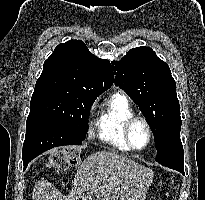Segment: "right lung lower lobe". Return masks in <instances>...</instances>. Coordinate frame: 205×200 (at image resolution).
I'll list each match as a JSON object with an SVG mask.
<instances>
[{"instance_id":"1","label":"right lung lower lobe","mask_w":205,"mask_h":200,"mask_svg":"<svg viewBox=\"0 0 205 200\" xmlns=\"http://www.w3.org/2000/svg\"><path fill=\"white\" fill-rule=\"evenodd\" d=\"M81 144L82 141L54 120L41 114L30 113L26 122L22 153L24 169L32 159L53 147Z\"/></svg>"}]
</instances>
